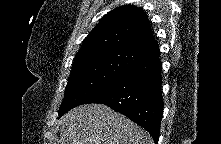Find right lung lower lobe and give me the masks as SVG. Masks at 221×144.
<instances>
[{
  "label": "right lung lower lobe",
  "mask_w": 221,
  "mask_h": 144,
  "mask_svg": "<svg viewBox=\"0 0 221 144\" xmlns=\"http://www.w3.org/2000/svg\"><path fill=\"white\" fill-rule=\"evenodd\" d=\"M161 70L157 48L118 80L93 94L84 104L109 106L147 130L157 143L163 115Z\"/></svg>",
  "instance_id": "obj_1"
}]
</instances>
